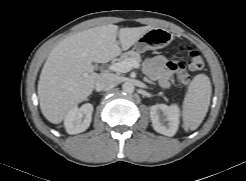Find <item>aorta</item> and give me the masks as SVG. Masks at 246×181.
I'll use <instances>...</instances> for the list:
<instances>
[{
	"instance_id": "aorta-1",
	"label": "aorta",
	"mask_w": 246,
	"mask_h": 181,
	"mask_svg": "<svg viewBox=\"0 0 246 181\" xmlns=\"http://www.w3.org/2000/svg\"><path fill=\"white\" fill-rule=\"evenodd\" d=\"M122 90L125 92V93H128V94H131L134 92L135 90V87H134V84L130 81H126L123 83L122 85Z\"/></svg>"
}]
</instances>
